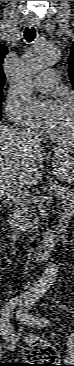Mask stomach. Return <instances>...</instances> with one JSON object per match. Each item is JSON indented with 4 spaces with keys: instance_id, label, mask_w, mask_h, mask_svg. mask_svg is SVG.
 <instances>
[{
    "instance_id": "obj_1",
    "label": "stomach",
    "mask_w": 74,
    "mask_h": 366,
    "mask_svg": "<svg viewBox=\"0 0 74 366\" xmlns=\"http://www.w3.org/2000/svg\"><path fill=\"white\" fill-rule=\"evenodd\" d=\"M53 171L64 182H71L74 177V158L66 153H54Z\"/></svg>"
}]
</instances>
